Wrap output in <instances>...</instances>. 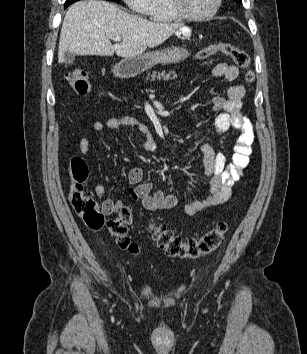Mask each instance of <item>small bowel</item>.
<instances>
[{
  "instance_id": "small-bowel-1",
  "label": "small bowel",
  "mask_w": 307,
  "mask_h": 354,
  "mask_svg": "<svg viewBox=\"0 0 307 354\" xmlns=\"http://www.w3.org/2000/svg\"><path fill=\"white\" fill-rule=\"evenodd\" d=\"M174 38H195V31L176 29ZM212 74L214 77H223L228 82H234L239 76V70L233 65L219 63L213 68ZM244 96V86L234 84L229 87L226 97L213 99L215 109L218 111L214 120L216 132L224 134L229 130H235L239 132V136L234 146L232 162L228 165L225 156L216 153L210 144L204 143L201 146L204 154V170L206 176L209 177L210 188L206 196L185 205L184 212L189 216L226 202L231 197L234 183L242 177L244 170L249 165L254 131L250 120L242 114V99ZM129 127L137 128L144 149L154 152L158 150V144L148 126L135 117H113L105 122L95 121L91 125V129L95 133H100L104 129L114 130ZM79 150L82 154L89 152V139L85 137L80 139ZM142 178L143 169L141 167H133L128 173L130 184L128 192L134 201H140L148 211L173 209L177 206L178 199L175 195L166 194L163 191L151 194L152 185L150 183H140ZM94 191L99 198L105 194V188L102 184H97ZM103 206L108 213H113L122 207L123 203L120 200L106 199L103 201Z\"/></svg>"
}]
</instances>
